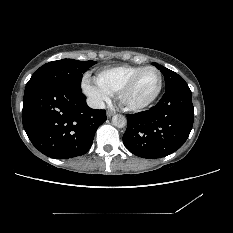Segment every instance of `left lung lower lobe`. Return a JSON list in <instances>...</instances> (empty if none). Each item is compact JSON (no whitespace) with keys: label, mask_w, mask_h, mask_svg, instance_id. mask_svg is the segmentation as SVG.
<instances>
[{"label":"left lung lower lobe","mask_w":233,"mask_h":233,"mask_svg":"<svg viewBox=\"0 0 233 233\" xmlns=\"http://www.w3.org/2000/svg\"><path fill=\"white\" fill-rule=\"evenodd\" d=\"M193 120L191 91L186 82L179 83L166 90L150 110L127 115L123 143L136 156L164 157L185 143Z\"/></svg>","instance_id":"0a47b994"}]
</instances>
